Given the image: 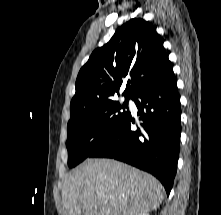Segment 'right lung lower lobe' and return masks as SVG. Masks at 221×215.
I'll return each mask as SVG.
<instances>
[{
  "label": "right lung lower lobe",
  "instance_id": "1",
  "mask_svg": "<svg viewBox=\"0 0 221 215\" xmlns=\"http://www.w3.org/2000/svg\"><path fill=\"white\" fill-rule=\"evenodd\" d=\"M132 100L140 116L136 130L129 112L115 131L88 157H105L133 165L160 180L169 195L180 149V96L174 73L139 91Z\"/></svg>",
  "mask_w": 221,
  "mask_h": 215
}]
</instances>
